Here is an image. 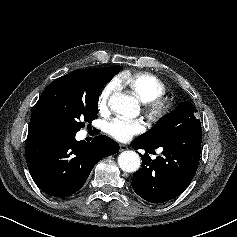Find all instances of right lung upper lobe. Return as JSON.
Listing matches in <instances>:
<instances>
[{"mask_svg": "<svg viewBox=\"0 0 237 237\" xmlns=\"http://www.w3.org/2000/svg\"><path fill=\"white\" fill-rule=\"evenodd\" d=\"M60 78L69 80L77 85L84 86V87L92 83L90 69H77ZM45 95H46V89L44 90V92L42 93V95L40 96L38 102L36 103L34 107V111L30 119L28 133H31L37 130H47L45 122L40 112L41 104L44 100Z\"/></svg>", "mask_w": 237, "mask_h": 237, "instance_id": "1", "label": "right lung upper lobe"}]
</instances>
